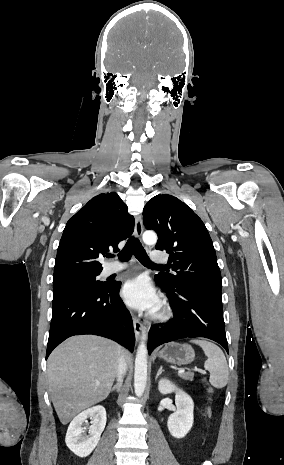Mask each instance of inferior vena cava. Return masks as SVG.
Returning <instances> with one entry per match:
<instances>
[{"mask_svg": "<svg viewBox=\"0 0 284 465\" xmlns=\"http://www.w3.org/2000/svg\"><path fill=\"white\" fill-rule=\"evenodd\" d=\"M118 361V367H117V377H118V381H123V377L126 373V369H127V365H126V361L122 355V351L120 349L119 351V359H117Z\"/></svg>", "mask_w": 284, "mask_h": 465, "instance_id": "obj_1", "label": "inferior vena cava"}]
</instances>
